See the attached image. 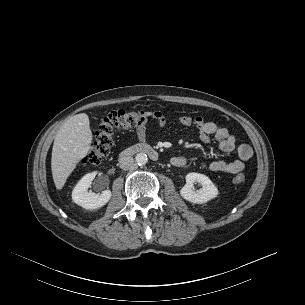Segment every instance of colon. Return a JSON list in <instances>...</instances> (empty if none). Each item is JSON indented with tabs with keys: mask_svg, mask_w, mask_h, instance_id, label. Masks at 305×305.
I'll return each instance as SVG.
<instances>
[{
	"mask_svg": "<svg viewBox=\"0 0 305 305\" xmlns=\"http://www.w3.org/2000/svg\"><path fill=\"white\" fill-rule=\"evenodd\" d=\"M156 115L157 112L151 113L144 110H117L108 113L96 131L95 140L84 159V165H98L108 158L117 131L142 126L149 116L156 117ZM244 181L243 174H238L233 178L235 184H242Z\"/></svg>",
	"mask_w": 305,
	"mask_h": 305,
	"instance_id": "1",
	"label": "colon"
}]
</instances>
